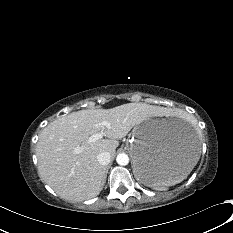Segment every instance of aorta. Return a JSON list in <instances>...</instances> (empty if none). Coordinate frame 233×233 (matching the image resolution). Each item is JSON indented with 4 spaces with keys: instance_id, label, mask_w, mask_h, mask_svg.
<instances>
[{
    "instance_id": "aorta-1",
    "label": "aorta",
    "mask_w": 233,
    "mask_h": 233,
    "mask_svg": "<svg viewBox=\"0 0 233 233\" xmlns=\"http://www.w3.org/2000/svg\"><path fill=\"white\" fill-rule=\"evenodd\" d=\"M116 161L119 165L125 166L129 163V157L125 153H120L117 155Z\"/></svg>"
}]
</instances>
